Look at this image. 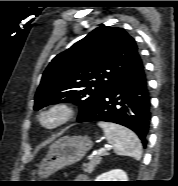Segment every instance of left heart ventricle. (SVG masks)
<instances>
[{
    "mask_svg": "<svg viewBox=\"0 0 178 186\" xmlns=\"http://www.w3.org/2000/svg\"><path fill=\"white\" fill-rule=\"evenodd\" d=\"M56 119H57L56 115L52 114V115L46 116V117L44 118V121H45V123H47V124H51V123L55 122Z\"/></svg>",
    "mask_w": 178,
    "mask_h": 186,
    "instance_id": "obj_1",
    "label": "left heart ventricle"
}]
</instances>
